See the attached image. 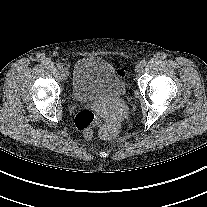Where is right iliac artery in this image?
<instances>
[{"label":"right iliac artery","instance_id":"82829eb1","mask_svg":"<svg viewBox=\"0 0 207 207\" xmlns=\"http://www.w3.org/2000/svg\"><path fill=\"white\" fill-rule=\"evenodd\" d=\"M57 68H58L59 70H61V69H63V65H62L61 63H59V64H57Z\"/></svg>","mask_w":207,"mask_h":207}]
</instances>
